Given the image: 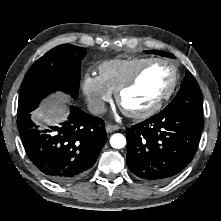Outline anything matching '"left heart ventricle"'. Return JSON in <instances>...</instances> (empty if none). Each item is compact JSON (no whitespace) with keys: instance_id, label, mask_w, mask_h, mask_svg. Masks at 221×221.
<instances>
[{"instance_id":"b2bd125f","label":"left heart ventricle","mask_w":221,"mask_h":221,"mask_svg":"<svg viewBox=\"0 0 221 221\" xmlns=\"http://www.w3.org/2000/svg\"><path fill=\"white\" fill-rule=\"evenodd\" d=\"M172 69L164 63L150 65L134 86L122 97V105L130 111H142L150 107L168 88Z\"/></svg>"}]
</instances>
